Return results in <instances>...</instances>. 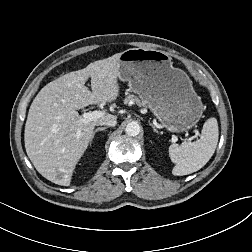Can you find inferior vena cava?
I'll return each mask as SVG.
<instances>
[{"label":"inferior vena cava","mask_w":252,"mask_h":252,"mask_svg":"<svg viewBox=\"0 0 252 252\" xmlns=\"http://www.w3.org/2000/svg\"><path fill=\"white\" fill-rule=\"evenodd\" d=\"M116 124H117L116 119H110V120L100 121L98 123V125H107V126H110V127H114V126H116Z\"/></svg>","instance_id":"1"}]
</instances>
